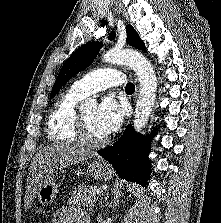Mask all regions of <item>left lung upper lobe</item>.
<instances>
[{"label":"left lung upper lobe","mask_w":221,"mask_h":223,"mask_svg":"<svg viewBox=\"0 0 221 223\" xmlns=\"http://www.w3.org/2000/svg\"><path fill=\"white\" fill-rule=\"evenodd\" d=\"M114 38L115 34L111 33L109 39L112 40ZM127 43L139 50L145 51V45L143 41L130 25H128L127 27ZM101 47V42L93 41L81 46L69 57L58 74L56 82L52 88V92L50 95L51 98L56 95V93L63 85L66 84L68 80H70L78 72L86 69L93 62Z\"/></svg>","instance_id":"1"}]
</instances>
